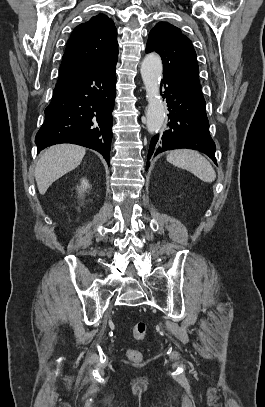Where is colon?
Listing matches in <instances>:
<instances>
[{
    "mask_svg": "<svg viewBox=\"0 0 265 407\" xmlns=\"http://www.w3.org/2000/svg\"><path fill=\"white\" fill-rule=\"evenodd\" d=\"M147 333V324L144 321L135 323L131 328V336L135 340H143ZM127 357L132 361H140L142 359V351L139 348H130L127 351Z\"/></svg>",
    "mask_w": 265,
    "mask_h": 407,
    "instance_id": "colon-1",
    "label": "colon"
}]
</instances>
